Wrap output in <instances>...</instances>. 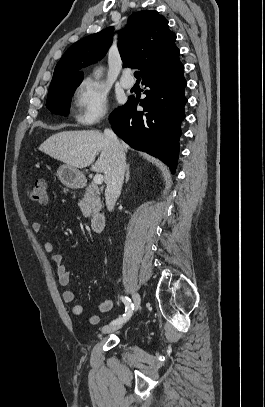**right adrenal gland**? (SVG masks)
I'll return each instance as SVG.
<instances>
[{"mask_svg": "<svg viewBox=\"0 0 265 407\" xmlns=\"http://www.w3.org/2000/svg\"><path fill=\"white\" fill-rule=\"evenodd\" d=\"M130 178V172H129V164L126 165V179L125 182L127 183Z\"/></svg>", "mask_w": 265, "mask_h": 407, "instance_id": "1", "label": "right adrenal gland"}]
</instances>
